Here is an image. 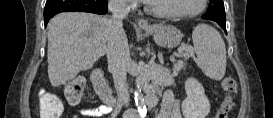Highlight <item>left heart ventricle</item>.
<instances>
[{
	"mask_svg": "<svg viewBox=\"0 0 273 118\" xmlns=\"http://www.w3.org/2000/svg\"><path fill=\"white\" fill-rule=\"evenodd\" d=\"M152 4L161 12L185 13L197 9L200 0H154Z\"/></svg>",
	"mask_w": 273,
	"mask_h": 118,
	"instance_id": "b2bd125f",
	"label": "left heart ventricle"
}]
</instances>
